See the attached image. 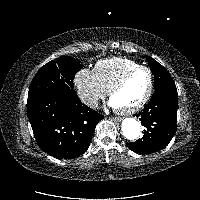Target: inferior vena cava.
I'll return each instance as SVG.
<instances>
[{"instance_id": "inferior-vena-cava-1", "label": "inferior vena cava", "mask_w": 200, "mask_h": 200, "mask_svg": "<svg viewBox=\"0 0 200 200\" xmlns=\"http://www.w3.org/2000/svg\"><path fill=\"white\" fill-rule=\"evenodd\" d=\"M82 102L93 109L98 107V99L94 97H82Z\"/></svg>"}]
</instances>
